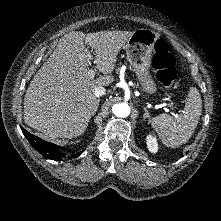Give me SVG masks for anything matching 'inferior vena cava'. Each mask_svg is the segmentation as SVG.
<instances>
[{
	"label": "inferior vena cava",
	"mask_w": 221,
	"mask_h": 221,
	"mask_svg": "<svg viewBox=\"0 0 221 221\" xmlns=\"http://www.w3.org/2000/svg\"><path fill=\"white\" fill-rule=\"evenodd\" d=\"M105 94H106V90H105V88L102 87V86H98V87H96L95 90H94V95H95L96 97H100V96H103V95H105Z\"/></svg>",
	"instance_id": "inferior-vena-cava-1"
}]
</instances>
